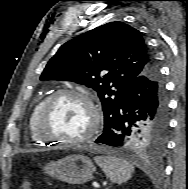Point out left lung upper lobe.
<instances>
[{"mask_svg": "<svg viewBox=\"0 0 188 189\" xmlns=\"http://www.w3.org/2000/svg\"><path fill=\"white\" fill-rule=\"evenodd\" d=\"M155 59L141 33L110 22L63 44L46 65L41 80H69L97 91L104 112V131L120 107L129 83ZM167 127L147 125L135 131L128 147L160 152Z\"/></svg>", "mask_w": 188, "mask_h": 189, "instance_id": "left-lung-upper-lobe-1", "label": "left lung upper lobe"}]
</instances>
